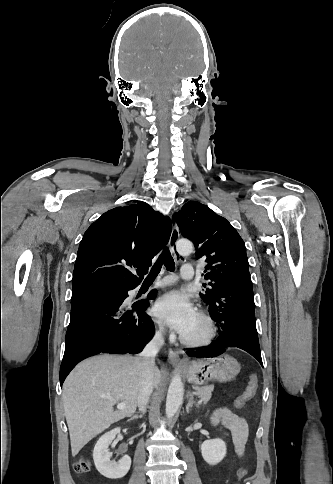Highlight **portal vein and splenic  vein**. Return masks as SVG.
<instances>
[{
  "instance_id": "1",
  "label": "portal vein and splenic vein",
  "mask_w": 333,
  "mask_h": 484,
  "mask_svg": "<svg viewBox=\"0 0 333 484\" xmlns=\"http://www.w3.org/2000/svg\"><path fill=\"white\" fill-rule=\"evenodd\" d=\"M103 398L109 399V397H106V396H103ZM117 408H118V409H122V410H123V409H125V408H126V405H125L124 403H119V404L117 405Z\"/></svg>"
}]
</instances>
